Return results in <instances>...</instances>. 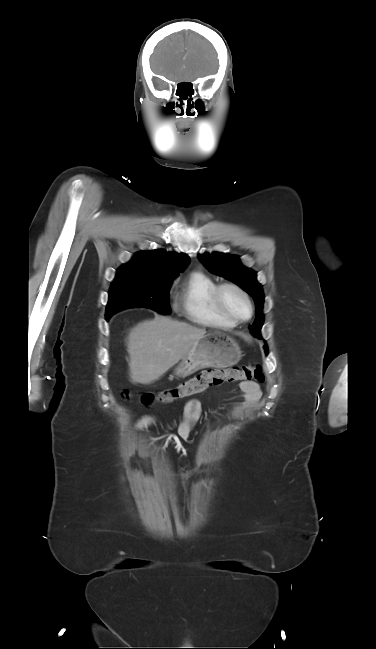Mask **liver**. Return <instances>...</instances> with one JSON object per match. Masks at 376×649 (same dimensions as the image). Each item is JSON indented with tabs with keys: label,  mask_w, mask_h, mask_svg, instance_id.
I'll list each match as a JSON object with an SVG mask.
<instances>
[{
	"label": "liver",
	"mask_w": 376,
	"mask_h": 649,
	"mask_svg": "<svg viewBox=\"0 0 376 649\" xmlns=\"http://www.w3.org/2000/svg\"><path fill=\"white\" fill-rule=\"evenodd\" d=\"M205 334L204 328L161 315L139 323L127 338L131 383L146 385L158 380Z\"/></svg>",
	"instance_id": "6515ba94"
}]
</instances>
